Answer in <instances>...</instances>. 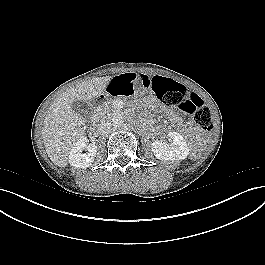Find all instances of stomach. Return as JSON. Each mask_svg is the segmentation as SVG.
I'll return each instance as SVG.
<instances>
[{
  "label": "stomach",
  "mask_w": 265,
  "mask_h": 265,
  "mask_svg": "<svg viewBox=\"0 0 265 265\" xmlns=\"http://www.w3.org/2000/svg\"><path fill=\"white\" fill-rule=\"evenodd\" d=\"M131 81L134 83V86H135L134 91L137 92V93H144L150 87V80L144 74H137V75H135L132 78Z\"/></svg>",
  "instance_id": "0dacf381"
}]
</instances>
